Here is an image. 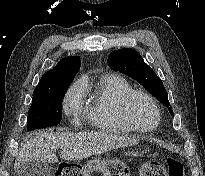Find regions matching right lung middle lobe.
Wrapping results in <instances>:
<instances>
[{
	"instance_id": "obj_1",
	"label": "right lung middle lobe",
	"mask_w": 205,
	"mask_h": 176,
	"mask_svg": "<svg viewBox=\"0 0 205 176\" xmlns=\"http://www.w3.org/2000/svg\"><path fill=\"white\" fill-rule=\"evenodd\" d=\"M69 86L33 96L27 118V131L58 125L62 119V101Z\"/></svg>"
}]
</instances>
